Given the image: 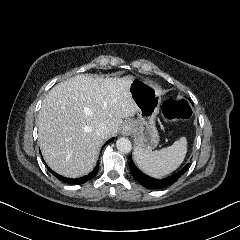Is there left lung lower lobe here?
Returning <instances> with one entry per match:
<instances>
[{
  "label": "left lung lower lobe",
  "mask_w": 240,
  "mask_h": 240,
  "mask_svg": "<svg viewBox=\"0 0 240 240\" xmlns=\"http://www.w3.org/2000/svg\"><path fill=\"white\" fill-rule=\"evenodd\" d=\"M188 166H189V164H187L181 171H179L176 174H173L172 176L158 180V179L151 178V177L145 175L144 173H142L141 171H139L137 169V167L135 166L132 158H130V170L132 172L133 177L142 186H144L146 188H150V189H161V188H165L167 186L172 185L187 170Z\"/></svg>",
  "instance_id": "left-lung-lower-lobe-1"
}]
</instances>
